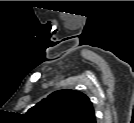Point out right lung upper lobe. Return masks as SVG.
Masks as SVG:
<instances>
[{
	"mask_svg": "<svg viewBox=\"0 0 134 123\" xmlns=\"http://www.w3.org/2000/svg\"><path fill=\"white\" fill-rule=\"evenodd\" d=\"M25 116L33 123H96L90 99L71 89L53 92Z\"/></svg>",
	"mask_w": 134,
	"mask_h": 123,
	"instance_id": "right-lung-upper-lobe-1",
	"label": "right lung upper lobe"
}]
</instances>
